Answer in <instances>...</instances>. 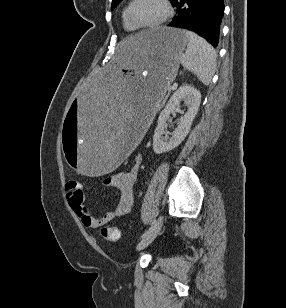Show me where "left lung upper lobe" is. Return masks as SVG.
Returning <instances> with one entry per match:
<instances>
[{
  "label": "left lung upper lobe",
  "instance_id": "obj_1",
  "mask_svg": "<svg viewBox=\"0 0 286 308\" xmlns=\"http://www.w3.org/2000/svg\"><path fill=\"white\" fill-rule=\"evenodd\" d=\"M121 0H113L112 1V8L115 7ZM172 1V0H171Z\"/></svg>",
  "mask_w": 286,
  "mask_h": 308
}]
</instances>
